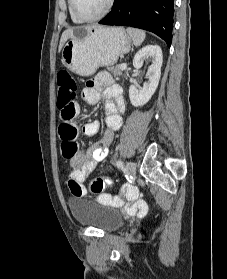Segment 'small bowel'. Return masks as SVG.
<instances>
[{"mask_svg":"<svg viewBox=\"0 0 227 279\" xmlns=\"http://www.w3.org/2000/svg\"><path fill=\"white\" fill-rule=\"evenodd\" d=\"M101 96L106 99V129L103 132L101 145L92 148L87 154L76 153L70 159L73 170L69 172L67 176L68 186L70 187V180L74 179L84 193H87V191L83 186V182L94 171L96 165L107 157L108 145L113 139L114 132L118 130L122 124L121 114L124 111L122 90L121 87L107 74H100L97 78L89 80L81 92L83 101L89 105L98 104ZM68 124L75 126L72 121H69ZM101 128L102 124L99 121H91L83 125V132L86 135L94 136L101 131ZM124 191L132 194L137 192V189L133 186L126 185ZM147 208V204L143 200L132 201L128 205L129 211L136 212L139 215L143 214Z\"/></svg>","mask_w":227,"mask_h":279,"instance_id":"obj_1","label":"small bowel"}]
</instances>
